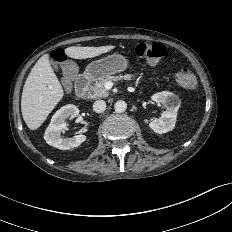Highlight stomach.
I'll return each mask as SVG.
<instances>
[{
    "instance_id": "stomach-1",
    "label": "stomach",
    "mask_w": 232,
    "mask_h": 232,
    "mask_svg": "<svg viewBox=\"0 0 232 232\" xmlns=\"http://www.w3.org/2000/svg\"><path fill=\"white\" fill-rule=\"evenodd\" d=\"M127 64L124 56L114 53L88 64L85 75L91 80L101 79L105 76L124 71L127 68Z\"/></svg>"
}]
</instances>
